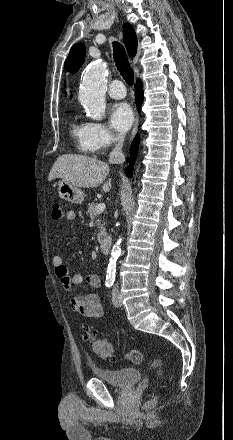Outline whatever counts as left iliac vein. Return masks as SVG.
Returning a JSON list of instances; mask_svg holds the SVG:
<instances>
[{
  "label": "left iliac vein",
  "instance_id": "left-iliac-vein-1",
  "mask_svg": "<svg viewBox=\"0 0 233 440\" xmlns=\"http://www.w3.org/2000/svg\"><path fill=\"white\" fill-rule=\"evenodd\" d=\"M112 303L115 307H121L122 305L120 300L119 290L116 287L112 291Z\"/></svg>",
  "mask_w": 233,
  "mask_h": 440
}]
</instances>
